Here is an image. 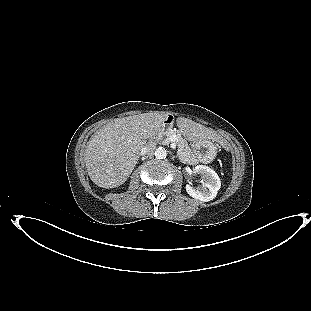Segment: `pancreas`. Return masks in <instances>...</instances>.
I'll list each match as a JSON object with an SVG mask.
<instances>
[{"mask_svg": "<svg viewBox=\"0 0 311 311\" xmlns=\"http://www.w3.org/2000/svg\"><path fill=\"white\" fill-rule=\"evenodd\" d=\"M163 136H166V142H169V137L171 135H176L178 140V154L182 156L184 159H186L187 163H194L197 161L196 157L192 153L191 148L188 146L187 141L181 136V133L178 130L175 129H167L163 132ZM163 140V137H156L157 142H161Z\"/></svg>", "mask_w": 311, "mask_h": 311, "instance_id": "pancreas-1", "label": "pancreas"}]
</instances>
